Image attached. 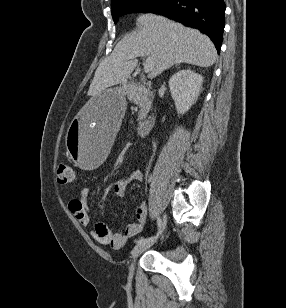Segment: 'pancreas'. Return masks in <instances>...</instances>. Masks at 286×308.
Segmentation results:
<instances>
[{
  "instance_id": "pancreas-1",
  "label": "pancreas",
  "mask_w": 286,
  "mask_h": 308,
  "mask_svg": "<svg viewBox=\"0 0 286 308\" xmlns=\"http://www.w3.org/2000/svg\"><path fill=\"white\" fill-rule=\"evenodd\" d=\"M127 98L139 106L141 109L138 116L139 123L146 117L152 104V92L145 85L137 84L129 86L127 91Z\"/></svg>"
}]
</instances>
